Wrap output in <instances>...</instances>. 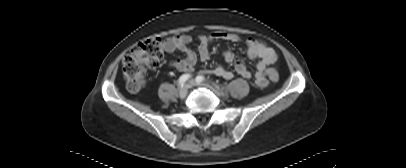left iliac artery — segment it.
I'll return each mask as SVG.
<instances>
[{"instance_id": "44dca946", "label": "left iliac artery", "mask_w": 406, "mask_h": 168, "mask_svg": "<svg viewBox=\"0 0 406 168\" xmlns=\"http://www.w3.org/2000/svg\"><path fill=\"white\" fill-rule=\"evenodd\" d=\"M204 80H205V78L203 76H197L196 77V82L197 83L203 82Z\"/></svg>"}]
</instances>
